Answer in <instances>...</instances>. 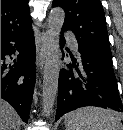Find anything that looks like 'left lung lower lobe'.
I'll use <instances>...</instances> for the list:
<instances>
[{
  "label": "left lung lower lobe",
  "instance_id": "left-lung-lower-lobe-1",
  "mask_svg": "<svg viewBox=\"0 0 123 130\" xmlns=\"http://www.w3.org/2000/svg\"><path fill=\"white\" fill-rule=\"evenodd\" d=\"M65 31L62 29V32ZM61 49L65 44L60 38ZM79 61L72 59L69 70L59 74L58 104L55 120L84 106H98L123 112L117 80L112 69V55L78 44ZM64 57V53H63Z\"/></svg>",
  "mask_w": 123,
  "mask_h": 130
}]
</instances>
